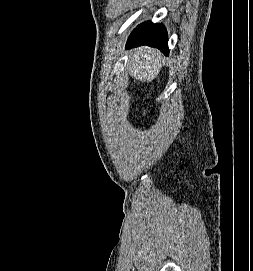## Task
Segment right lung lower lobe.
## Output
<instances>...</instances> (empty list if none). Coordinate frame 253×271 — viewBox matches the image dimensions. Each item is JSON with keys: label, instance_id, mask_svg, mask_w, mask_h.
Listing matches in <instances>:
<instances>
[{"label": "right lung lower lobe", "instance_id": "98d812e1", "mask_svg": "<svg viewBox=\"0 0 253 271\" xmlns=\"http://www.w3.org/2000/svg\"><path fill=\"white\" fill-rule=\"evenodd\" d=\"M167 32L163 24H153L152 22H144L133 30L128 38L126 48L135 46L148 45L160 49L164 54L168 55Z\"/></svg>", "mask_w": 253, "mask_h": 271}]
</instances>
